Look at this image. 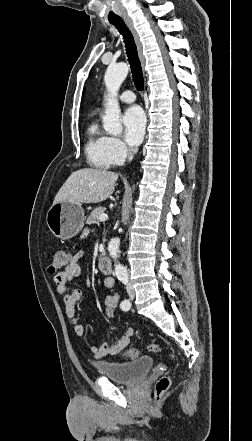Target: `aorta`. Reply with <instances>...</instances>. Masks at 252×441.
I'll list each match as a JSON object with an SVG mask.
<instances>
[{
  "instance_id": "762f6f07",
  "label": "aorta",
  "mask_w": 252,
  "mask_h": 441,
  "mask_svg": "<svg viewBox=\"0 0 252 441\" xmlns=\"http://www.w3.org/2000/svg\"><path fill=\"white\" fill-rule=\"evenodd\" d=\"M128 71L129 67L126 63H118L108 66L104 75V82L108 91V97L107 107L103 117V127L105 131L114 136H117L122 132V125L120 121L121 111L116 97L121 84L128 75ZM119 246L120 239L115 237L111 239L108 246V251L110 257L115 263V274L118 277H126L128 275L127 269L118 261L120 253Z\"/></svg>"
}]
</instances>
